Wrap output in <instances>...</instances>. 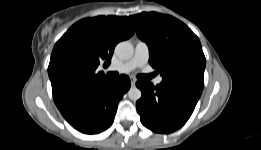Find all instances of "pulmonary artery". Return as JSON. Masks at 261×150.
Here are the masks:
<instances>
[{
	"label": "pulmonary artery",
	"instance_id": "obj_1",
	"mask_svg": "<svg viewBox=\"0 0 261 150\" xmlns=\"http://www.w3.org/2000/svg\"><path fill=\"white\" fill-rule=\"evenodd\" d=\"M149 60V47L143 41H138L135 46V51L133 56L126 62L112 67V69L119 72H130L138 67H143ZM155 84H160L162 82V76H157L154 80Z\"/></svg>",
	"mask_w": 261,
	"mask_h": 150
}]
</instances>
